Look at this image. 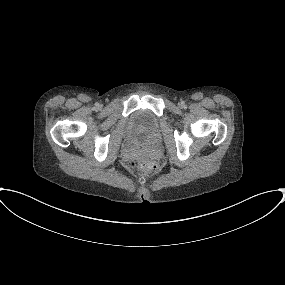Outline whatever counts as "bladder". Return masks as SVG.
<instances>
[{
    "label": "bladder",
    "instance_id": "obj_1",
    "mask_svg": "<svg viewBox=\"0 0 285 285\" xmlns=\"http://www.w3.org/2000/svg\"><path fill=\"white\" fill-rule=\"evenodd\" d=\"M157 119L147 110H136L131 122V135L138 138L156 129Z\"/></svg>",
    "mask_w": 285,
    "mask_h": 285
}]
</instances>
